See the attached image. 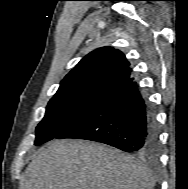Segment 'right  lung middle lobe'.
<instances>
[{"label": "right lung middle lobe", "instance_id": "right-lung-middle-lobe-1", "mask_svg": "<svg viewBox=\"0 0 188 189\" xmlns=\"http://www.w3.org/2000/svg\"><path fill=\"white\" fill-rule=\"evenodd\" d=\"M107 94L101 90L55 94L36 128L35 145L47 142L71 127Z\"/></svg>", "mask_w": 188, "mask_h": 189}]
</instances>
